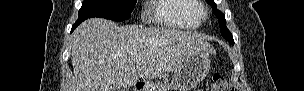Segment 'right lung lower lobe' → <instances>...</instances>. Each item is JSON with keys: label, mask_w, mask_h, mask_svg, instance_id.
Masks as SVG:
<instances>
[{"label": "right lung lower lobe", "mask_w": 304, "mask_h": 91, "mask_svg": "<svg viewBox=\"0 0 304 91\" xmlns=\"http://www.w3.org/2000/svg\"><path fill=\"white\" fill-rule=\"evenodd\" d=\"M82 21L77 20L76 23L72 26L71 32L81 23Z\"/></svg>", "instance_id": "obj_1"}]
</instances>
